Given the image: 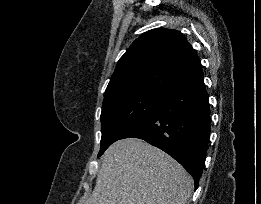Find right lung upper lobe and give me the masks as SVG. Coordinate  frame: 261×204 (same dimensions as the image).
I'll list each match as a JSON object with an SVG mask.
<instances>
[{
  "label": "right lung upper lobe",
  "instance_id": "obj_1",
  "mask_svg": "<svg viewBox=\"0 0 261 204\" xmlns=\"http://www.w3.org/2000/svg\"><path fill=\"white\" fill-rule=\"evenodd\" d=\"M200 70V59L181 32L153 29L120 58L104 97L128 90L168 92Z\"/></svg>",
  "mask_w": 261,
  "mask_h": 204
}]
</instances>
